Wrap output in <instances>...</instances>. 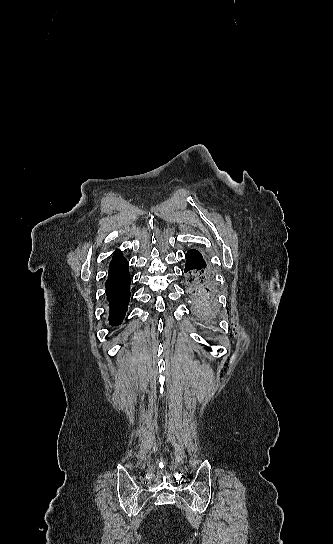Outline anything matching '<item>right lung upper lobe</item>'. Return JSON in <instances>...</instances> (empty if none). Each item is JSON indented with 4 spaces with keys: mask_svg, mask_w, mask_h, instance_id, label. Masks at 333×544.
<instances>
[{
    "mask_svg": "<svg viewBox=\"0 0 333 544\" xmlns=\"http://www.w3.org/2000/svg\"><path fill=\"white\" fill-rule=\"evenodd\" d=\"M126 264H127V260L123 257L122 253L119 250H117L114 253L113 259L110 263L108 276L121 270L124 266H126Z\"/></svg>",
    "mask_w": 333,
    "mask_h": 544,
    "instance_id": "cb5924a9",
    "label": "right lung upper lobe"
}]
</instances>
